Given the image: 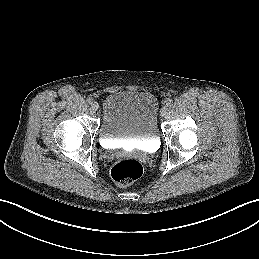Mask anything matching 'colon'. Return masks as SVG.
<instances>
[{"label": "colon", "mask_w": 259, "mask_h": 259, "mask_svg": "<svg viewBox=\"0 0 259 259\" xmlns=\"http://www.w3.org/2000/svg\"><path fill=\"white\" fill-rule=\"evenodd\" d=\"M142 164L135 158H123L116 161L111 169L113 180L120 186H128L141 177Z\"/></svg>", "instance_id": "colon-1"}]
</instances>
